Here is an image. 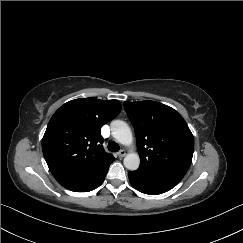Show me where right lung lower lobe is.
Listing matches in <instances>:
<instances>
[{
  "mask_svg": "<svg viewBox=\"0 0 243 243\" xmlns=\"http://www.w3.org/2000/svg\"><path fill=\"white\" fill-rule=\"evenodd\" d=\"M113 161L114 160H109L104 162L88 174L63 181L60 184L75 192L91 191L102 184L108 172L109 166Z\"/></svg>",
  "mask_w": 243,
  "mask_h": 243,
  "instance_id": "obj_1",
  "label": "right lung lower lobe"
}]
</instances>
